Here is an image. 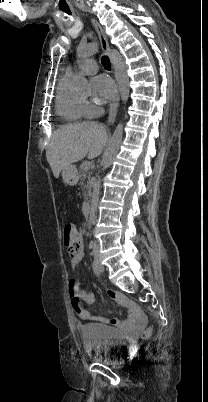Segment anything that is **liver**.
<instances>
[{
  "label": "liver",
  "mask_w": 208,
  "mask_h": 402,
  "mask_svg": "<svg viewBox=\"0 0 208 402\" xmlns=\"http://www.w3.org/2000/svg\"><path fill=\"white\" fill-rule=\"evenodd\" d=\"M106 142L107 132L104 126L96 122L61 126L54 132L46 152L54 178H59L65 166L79 162L85 156H88V160L100 156Z\"/></svg>",
  "instance_id": "obj_1"
}]
</instances>
